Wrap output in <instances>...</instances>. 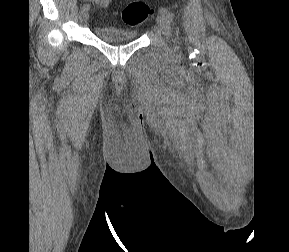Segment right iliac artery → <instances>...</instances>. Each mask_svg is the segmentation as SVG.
<instances>
[{
    "label": "right iliac artery",
    "mask_w": 289,
    "mask_h": 252,
    "mask_svg": "<svg viewBox=\"0 0 289 252\" xmlns=\"http://www.w3.org/2000/svg\"><path fill=\"white\" fill-rule=\"evenodd\" d=\"M90 9V5L89 4H84L82 7V10H86L88 11Z\"/></svg>",
    "instance_id": "right-iliac-artery-1"
}]
</instances>
